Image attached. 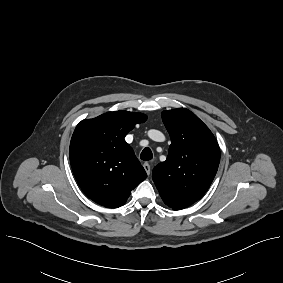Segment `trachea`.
Returning a JSON list of instances; mask_svg holds the SVG:
<instances>
[{"label": "trachea", "mask_w": 283, "mask_h": 283, "mask_svg": "<svg viewBox=\"0 0 283 283\" xmlns=\"http://www.w3.org/2000/svg\"><path fill=\"white\" fill-rule=\"evenodd\" d=\"M140 158L144 161L151 160L153 158V154H152V151L150 150V148H148V147L144 148L143 151L140 154Z\"/></svg>", "instance_id": "obj_1"}]
</instances>
